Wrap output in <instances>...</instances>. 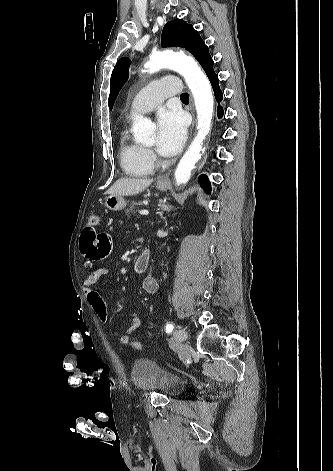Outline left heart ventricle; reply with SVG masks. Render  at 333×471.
Masks as SVG:
<instances>
[{"mask_svg": "<svg viewBox=\"0 0 333 471\" xmlns=\"http://www.w3.org/2000/svg\"><path fill=\"white\" fill-rule=\"evenodd\" d=\"M154 144H155V141H153V142L150 144V146H153Z\"/></svg>", "mask_w": 333, "mask_h": 471, "instance_id": "obj_1", "label": "left heart ventricle"}]
</instances>
